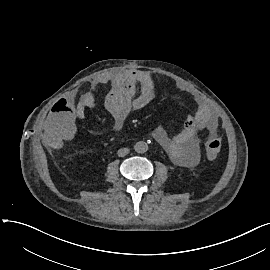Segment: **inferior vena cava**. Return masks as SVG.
Here are the masks:
<instances>
[{
  "instance_id": "obj_1",
  "label": "inferior vena cava",
  "mask_w": 270,
  "mask_h": 270,
  "mask_svg": "<svg viewBox=\"0 0 270 270\" xmlns=\"http://www.w3.org/2000/svg\"><path fill=\"white\" fill-rule=\"evenodd\" d=\"M129 153V149L128 148H121L118 150L117 154L119 157H124Z\"/></svg>"
}]
</instances>
